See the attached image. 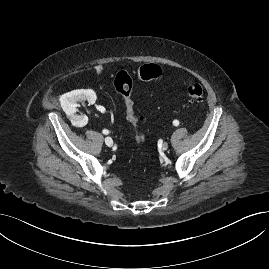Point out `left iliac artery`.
Segmentation results:
<instances>
[{
  "mask_svg": "<svg viewBox=\"0 0 269 269\" xmlns=\"http://www.w3.org/2000/svg\"><path fill=\"white\" fill-rule=\"evenodd\" d=\"M173 125H174V126H178V125H179V121H178V120H174V121H173Z\"/></svg>",
  "mask_w": 269,
  "mask_h": 269,
  "instance_id": "1",
  "label": "left iliac artery"
}]
</instances>
